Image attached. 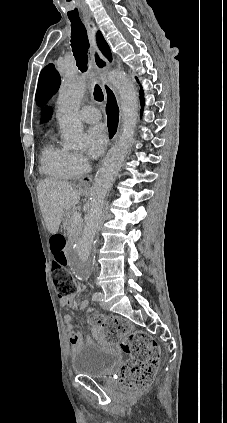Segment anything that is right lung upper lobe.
Returning a JSON list of instances; mask_svg holds the SVG:
<instances>
[{"label": "right lung upper lobe", "mask_w": 227, "mask_h": 423, "mask_svg": "<svg viewBox=\"0 0 227 423\" xmlns=\"http://www.w3.org/2000/svg\"><path fill=\"white\" fill-rule=\"evenodd\" d=\"M97 44L103 55L109 60H112L110 48L103 38L102 34L97 33ZM60 85V77L55 70L53 64L46 66L40 73L38 80V87L36 92V100L39 105L45 103L53 94H55Z\"/></svg>", "instance_id": "obj_1"}]
</instances>
